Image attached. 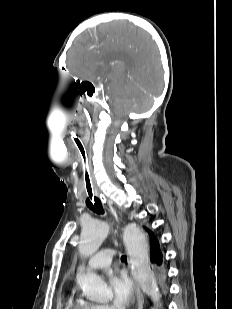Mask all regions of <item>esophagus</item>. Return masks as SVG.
I'll return each instance as SVG.
<instances>
[{"label":"esophagus","instance_id":"esophagus-1","mask_svg":"<svg viewBox=\"0 0 232 309\" xmlns=\"http://www.w3.org/2000/svg\"><path fill=\"white\" fill-rule=\"evenodd\" d=\"M107 209L117 220L116 212L110 204L107 205ZM143 302H144L143 295L141 291L137 288V306H136L137 308L136 309H142Z\"/></svg>","mask_w":232,"mask_h":309}]
</instances>
